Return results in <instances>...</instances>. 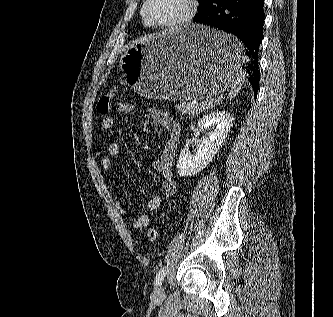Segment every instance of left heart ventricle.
<instances>
[{"label": "left heart ventricle", "instance_id": "b2bd125f", "mask_svg": "<svg viewBox=\"0 0 333 317\" xmlns=\"http://www.w3.org/2000/svg\"><path fill=\"white\" fill-rule=\"evenodd\" d=\"M183 0H151L147 13L157 21H171L178 18L184 12Z\"/></svg>", "mask_w": 333, "mask_h": 317}]
</instances>
